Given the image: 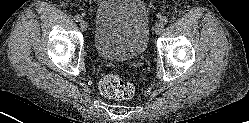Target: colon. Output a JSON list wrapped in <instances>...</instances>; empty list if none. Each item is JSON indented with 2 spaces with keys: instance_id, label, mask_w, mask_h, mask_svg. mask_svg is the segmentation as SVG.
Wrapping results in <instances>:
<instances>
[{
  "instance_id": "obj_1",
  "label": "colon",
  "mask_w": 249,
  "mask_h": 123,
  "mask_svg": "<svg viewBox=\"0 0 249 123\" xmlns=\"http://www.w3.org/2000/svg\"><path fill=\"white\" fill-rule=\"evenodd\" d=\"M101 94L109 99L126 100L133 96L134 86L116 75L105 76L99 84Z\"/></svg>"
}]
</instances>
